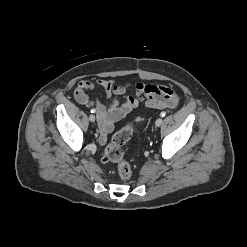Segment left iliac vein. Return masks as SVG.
I'll return each instance as SVG.
<instances>
[{
    "label": "left iliac vein",
    "mask_w": 247,
    "mask_h": 247,
    "mask_svg": "<svg viewBox=\"0 0 247 247\" xmlns=\"http://www.w3.org/2000/svg\"><path fill=\"white\" fill-rule=\"evenodd\" d=\"M161 124H162V119H161V118H158V119L155 121V125H156L157 127H159V126H161Z\"/></svg>",
    "instance_id": "obj_1"
}]
</instances>
